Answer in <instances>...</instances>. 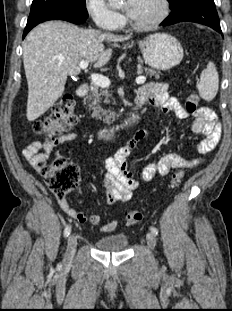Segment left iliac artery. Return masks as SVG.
I'll return each instance as SVG.
<instances>
[{
  "instance_id": "1",
  "label": "left iliac artery",
  "mask_w": 232,
  "mask_h": 311,
  "mask_svg": "<svg viewBox=\"0 0 232 311\" xmlns=\"http://www.w3.org/2000/svg\"><path fill=\"white\" fill-rule=\"evenodd\" d=\"M151 232L154 234V235H158V229L154 226L151 227Z\"/></svg>"
}]
</instances>
